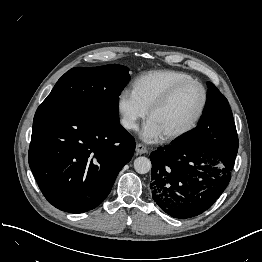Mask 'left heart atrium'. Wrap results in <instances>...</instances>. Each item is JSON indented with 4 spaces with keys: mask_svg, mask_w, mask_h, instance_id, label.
<instances>
[{
    "mask_svg": "<svg viewBox=\"0 0 262 262\" xmlns=\"http://www.w3.org/2000/svg\"><path fill=\"white\" fill-rule=\"evenodd\" d=\"M140 136L145 142L152 143L162 138L163 134L157 125L150 119L143 127Z\"/></svg>",
    "mask_w": 262,
    "mask_h": 262,
    "instance_id": "left-heart-atrium-1",
    "label": "left heart atrium"
}]
</instances>
